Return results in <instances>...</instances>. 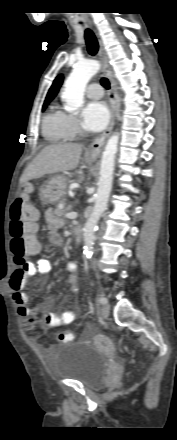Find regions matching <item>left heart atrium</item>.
Instances as JSON below:
<instances>
[{
	"instance_id": "left-heart-atrium-1",
	"label": "left heart atrium",
	"mask_w": 177,
	"mask_h": 440,
	"mask_svg": "<svg viewBox=\"0 0 177 440\" xmlns=\"http://www.w3.org/2000/svg\"><path fill=\"white\" fill-rule=\"evenodd\" d=\"M109 120V111L103 102L94 101L85 105L81 112V123L85 130L98 132L104 129Z\"/></svg>"
}]
</instances>
